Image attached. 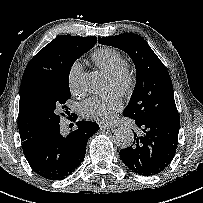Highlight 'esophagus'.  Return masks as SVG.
I'll use <instances>...</instances> for the list:
<instances>
[{"instance_id":"obj_1","label":"esophagus","mask_w":203,"mask_h":203,"mask_svg":"<svg viewBox=\"0 0 203 203\" xmlns=\"http://www.w3.org/2000/svg\"><path fill=\"white\" fill-rule=\"evenodd\" d=\"M99 126L101 129H113V128H115V126H113L111 124H106V123H100Z\"/></svg>"}]
</instances>
